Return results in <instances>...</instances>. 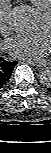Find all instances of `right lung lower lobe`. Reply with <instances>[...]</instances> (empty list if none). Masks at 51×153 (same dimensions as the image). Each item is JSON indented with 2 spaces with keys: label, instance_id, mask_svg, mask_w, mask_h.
<instances>
[{
  "label": "right lung lower lobe",
  "instance_id": "98d812e1",
  "mask_svg": "<svg viewBox=\"0 0 51 153\" xmlns=\"http://www.w3.org/2000/svg\"><path fill=\"white\" fill-rule=\"evenodd\" d=\"M16 64V61L9 62L0 57V89L8 82Z\"/></svg>",
  "mask_w": 51,
  "mask_h": 153
}]
</instances>
